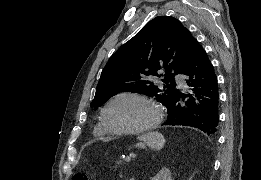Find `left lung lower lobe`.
<instances>
[{"label": "left lung lower lobe", "mask_w": 261, "mask_h": 180, "mask_svg": "<svg viewBox=\"0 0 261 180\" xmlns=\"http://www.w3.org/2000/svg\"><path fill=\"white\" fill-rule=\"evenodd\" d=\"M191 92L176 94L167 106L166 126H190L208 135L217 131L219 122V92L217 76L206 51L199 45L183 68ZM196 100V101H195Z\"/></svg>", "instance_id": "left-lung-lower-lobe-1"}]
</instances>
